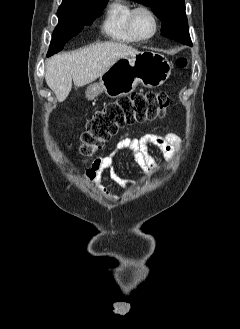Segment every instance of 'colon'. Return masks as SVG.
I'll return each instance as SVG.
<instances>
[{"mask_svg": "<svg viewBox=\"0 0 240 329\" xmlns=\"http://www.w3.org/2000/svg\"><path fill=\"white\" fill-rule=\"evenodd\" d=\"M187 61L179 58L178 67H184ZM171 103V98L164 91L134 93L121 97L96 110L82 134L80 152L86 157L93 156L105 142L119 129L164 116Z\"/></svg>", "mask_w": 240, "mask_h": 329, "instance_id": "colon-1", "label": "colon"}]
</instances>
